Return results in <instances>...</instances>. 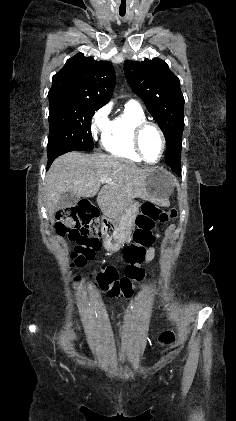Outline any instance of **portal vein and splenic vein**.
I'll return each instance as SVG.
<instances>
[{
    "label": "portal vein and splenic vein",
    "instance_id": "portal-vein-and-splenic-vein-1",
    "mask_svg": "<svg viewBox=\"0 0 236 421\" xmlns=\"http://www.w3.org/2000/svg\"><path fill=\"white\" fill-rule=\"evenodd\" d=\"M100 180H102V182H110L111 178H108V176H101Z\"/></svg>",
    "mask_w": 236,
    "mask_h": 421
}]
</instances>
